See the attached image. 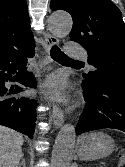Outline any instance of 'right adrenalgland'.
Returning <instances> with one entry per match:
<instances>
[{
	"mask_svg": "<svg viewBox=\"0 0 125 167\" xmlns=\"http://www.w3.org/2000/svg\"><path fill=\"white\" fill-rule=\"evenodd\" d=\"M21 166L26 167V162H25L23 153L21 154V162L19 163L18 167H21Z\"/></svg>",
	"mask_w": 125,
	"mask_h": 167,
	"instance_id": "1",
	"label": "right adrenal gland"
}]
</instances>
